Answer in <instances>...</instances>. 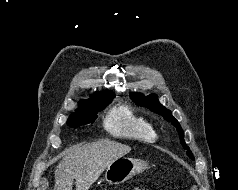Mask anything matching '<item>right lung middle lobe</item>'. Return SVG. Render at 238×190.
Wrapping results in <instances>:
<instances>
[{"mask_svg": "<svg viewBox=\"0 0 238 190\" xmlns=\"http://www.w3.org/2000/svg\"><path fill=\"white\" fill-rule=\"evenodd\" d=\"M114 94H107L94 97L86 101V105L80 109H77L75 113H72L68 118L67 124L71 127H79L93 123L97 117V112L103 110L114 98Z\"/></svg>", "mask_w": 238, "mask_h": 190, "instance_id": "dd1d6c3e", "label": "right lung middle lobe"}]
</instances>
